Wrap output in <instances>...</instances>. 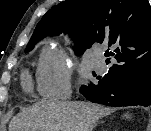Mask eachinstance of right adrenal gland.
I'll return each mask as SVG.
<instances>
[{
  "label": "right adrenal gland",
  "instance_id": "1",
  "mask_svg": "<svg viewBox=\"0 0 151 131\" xmlns=\"http://www.w3.org/2000/svg\"><path fill=\"white\" fill-rule=\"evenodd\" d=\"M99 123H102V122H98V123L94 124V126H96V125L99 124Z\"/></svg>",
  "mask_w": 151,
  "mask_h": 131
}]
</instances>
